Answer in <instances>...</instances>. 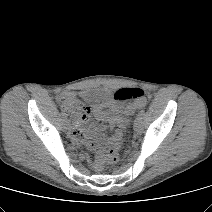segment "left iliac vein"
Masks as SVG:
<instances>
[{
  "label": "left iliac vein",
  "mask_w": 212,
  "mask_h": 212,
  "mask_svg": "<svg viewBox=\"0 0 212 212\" xmlns=\"http://www.w3.org/2000/svg\"><path fill=\"white\" fill-rule=\"evenodd\" d=\"M142 129V118L138 115L134 121V130L136 132L141 131Z\"/></svg>",
  "instance_id": "obj_1"
}]
</instances>
